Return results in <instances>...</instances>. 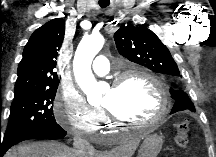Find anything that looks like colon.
<instances>
[{
  "instance_id": "colon-1",
  "label": "colon",
  "mask_w": 216,
  "mask_h": 157,
  "mask_svg": "<svg viewBox=\"0 0 216 157\" xmlns=\"http://www.w3.org/2000/svg\"><path fill=\"white\" fill-rule=\"evenodd\" d=\"M190 125L191 122L189 118H183L176 123L175 141L181 148H185L188 144Z\"/></svg>"
}]
</instances>
